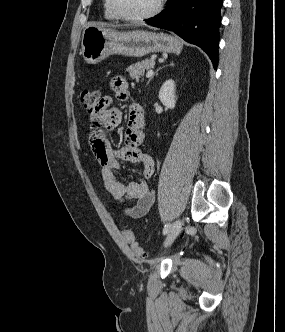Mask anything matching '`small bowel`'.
<instances>
[{
    "mask_svg": "<svg viewBox=\"0 0 285 332\" xmlns=\"http://www.w3.org/2000/svg\"><path fill=\"white\" fill-rule=\"evenodd\" d=\"M110 87L121 99L127 98L128 83L124 77L115 76ZM115 106L116 101L112 100L111 96H98L97 103L92 107V111H89L90 144L101 164V176L107 193L115 200L134 201L135 204L127 208L125 213L131 218H140L154 203V194L147 180L154 174L155 162L150 154L140 148L145 135L143 117L137 106L130 109L125 143L119 148H114L107 140L101 130L114 129L122 120V112L113 108ZM120 160L139 167L144 180L122 182L116 175Z\"/></svg>",
    "mask_w": 285,
    "mask_h": 332,
    "instance_id": "obj_1",
    "label": "small bowel"
}]
</instances>
